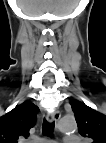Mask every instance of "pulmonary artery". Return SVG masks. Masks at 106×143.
<instances>
[{
    "mask_svg": "<svg viewBox=\"0 0 106 143\" xmlns=\"http://www.w3.org/2000/svg\"><path fill=\"white\" fill-rule=\"evenodd\" d=\"M67 140H76L75 138H67Z\"/></svg>",
    "mask_w": 106,
    "mask_h": 143,
    "instance_id": "obj_1",
    "label": "pulmonary artery"
}]
</instances>
